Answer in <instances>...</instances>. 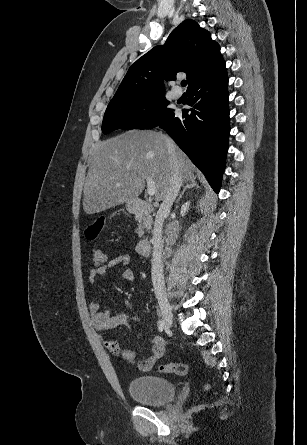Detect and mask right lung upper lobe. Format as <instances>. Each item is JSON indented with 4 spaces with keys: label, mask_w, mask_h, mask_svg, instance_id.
<instances>
[{
    "label": "right lung upper lobe",
    "mask_w": 307,
    "mask_h": 445,
    "mask_svg": "<svg viewBox=\"0 0 307 445\" xmlns=\"http://www.w3.org/2000/svg\"><path fill=\"white\" fill-rule=\"evenodd\" d=\"M223 63L209 32L187 19L129 68L112 99L164 93V80H175L178 72H186L189 88Z\"/></svg>",
    "instance_id": "1"
}]
</instances>
